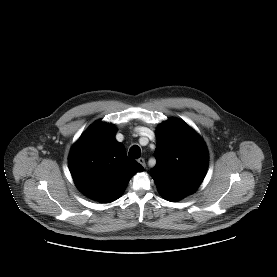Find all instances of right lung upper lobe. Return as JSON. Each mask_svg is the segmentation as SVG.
<instances>
[{"label":"right lung upper lobe","instance_id":"cb5924a9","mask_svg":"<svg viewBox=\"0 0 277 277\" xmlns=\"http://www.w3.org/2000/svg\"><path fill=\"white\" fill-rule=\"evenodd\" d=\"M115 132L114 125L96 121L73 145L69 155L70 172L78 189L102 203L119 198L131 176L144 170L127 157Z\"/></svg>","mask_w":277,"mask_h":277}]
</instances>
